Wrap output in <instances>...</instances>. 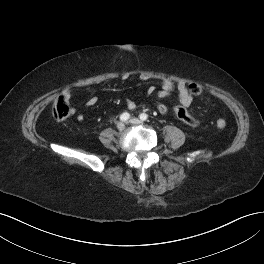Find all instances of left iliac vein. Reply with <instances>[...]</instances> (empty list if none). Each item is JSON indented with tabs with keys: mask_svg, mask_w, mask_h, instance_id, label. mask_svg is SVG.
Here are the masks:
<instances>
[{
	"mask_svg": "<svg viewBox=\"0 0 264 264\" xmlns=\"http://www.w3.org/2000/svg\"><path fill=\"white\" fill-rule=\"evenodd\" d=\"M129 122L132 123V124H140L141 123V121L139 119H137V118H132V119L129 120Z\"/></svg>",
	"mask_w": 264,
	"mask_h": 264,
	"instance_id": "obj_1",
	"label": "left iliac vein"
}]
</instances>
